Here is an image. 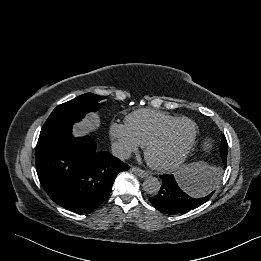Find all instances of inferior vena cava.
Returning a JSON list of instances; mask_svg holds the SVG:
<instances>
[{
    "instance_id": "inferior-vena-cava-1",
    "label": "inferior vena cava",
    "mask_w": 261,
    "mask_h": 261,
    "mask_svg": "<svg viewBox=\"0 0 261 261\" xmlns=\"http://www.w3.org/2000/svg\"><path fill=\"white\" fill-rule=\"evenodd\" d=\"M112 154L122 160L129 159L131 156V150L118 142H114L111 146Z\"/></svg>"
}]
</instances>
